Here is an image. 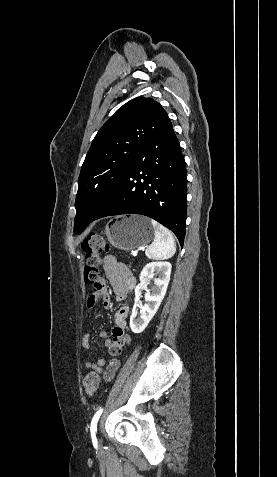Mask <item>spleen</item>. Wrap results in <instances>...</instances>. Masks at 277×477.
Wrapping results in <instances>:
<instances>
[{
  "instance_id": "obj_1",
  "label": "spleen",
  "mask_w": 277,
  "mask_h": 477,
  "mask_svg": "<svg viewBox=\"0 0 277 477\" xmlns=\"http://www.w3.org/2000/svg\"><path fill=\"white\" fill-rule=\"evenodd\" d=\"M151 223L155 231V237L152 244L146 249L145 255L154 260L171 258L176 252V244L172 233L154 220H151Z\"/></svg>"
}]
</instances>
